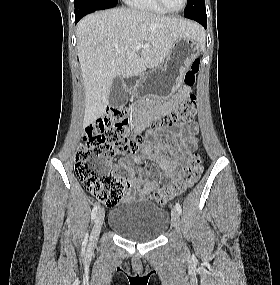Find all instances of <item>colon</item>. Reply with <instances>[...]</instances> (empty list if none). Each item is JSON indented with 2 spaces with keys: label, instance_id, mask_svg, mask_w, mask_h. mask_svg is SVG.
I'll use <instances>...</instances> for the list:
<instances>
[{
  "label": "colon",
  "instance_id": "obj_1",
  "mask_svg": "<svg viewBox=\"0 0 280 285\" xmlns=\"http://www.w3.org/2000/svg\"><path fill=\"white\" fill-rule=\"evenodd\" d=\"M200 63L195 60L184 77L185 85L194 86ZM196 113V96L190 94L171 112L162 115L151 130L176 127L190 121ZM129 119L124 110L110 108L85 131L83 142L75 155V171L83 187L107 206L117 205L122 198L123 179L111 171V162L118 155L133 154L141 144L142 135L129 134ZM202 157L195 153L182 172L151 196L164 204L194 185L202 172Z\"/></svg>",
  "mask_w": 280,
  "mask_h": 285
}]
</instances>
